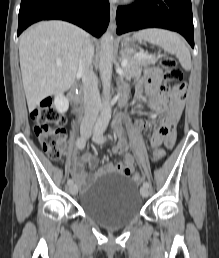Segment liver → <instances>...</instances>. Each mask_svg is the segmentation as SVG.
I'll return each instance as SVG.
<instances>
[{
    "label": "liver",
    "instance_id": "1",
    "mask_svg": "<svg viewBox=\"0 0 219 258\" xmlns=\"http://www.w3.org/2000/svg\"><path fill=\"white\" fill-rule=\"evenodd\" d=\"M88 34L64 21H43L22 33L19 57L28 108L74 84Z\"/></svg>",
    "mask_w": 219,
    "mask_h": 258
}]
</instances>
